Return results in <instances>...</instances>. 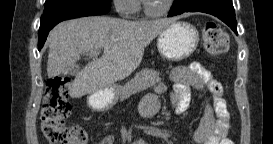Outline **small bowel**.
Returning a JSON list of instances; mask_svg holds the SVG:
<instances>
[{"label":"small bowel","mask_w":273,"mask_h":144,"mask_svg":"<svg viewBox=\"0 0 273 144\" xmlns=\"http://www.w3.org/2000/svg\"><path fill=\"white\" fill-rule=\"evenodd\" d=\"M168 78L175 83L172 103L177 114L184 113L190 106L192 88L207 90L212 95V103L208 102L206 105L205 113L195 131L194 141L198 144H228L225 136L230 129L231 116L223 98V87L211 71L194 63L172 69ZM164 90L165 85L159 83L154 92L143 98L139 106V113L143 118L151 119L159 113V95ZM99 143L114 144L115 139L113 136H106Z\"/></svg>","instance_id":"1"}]
</instances>
